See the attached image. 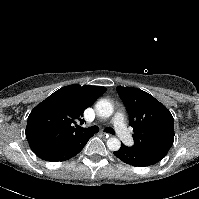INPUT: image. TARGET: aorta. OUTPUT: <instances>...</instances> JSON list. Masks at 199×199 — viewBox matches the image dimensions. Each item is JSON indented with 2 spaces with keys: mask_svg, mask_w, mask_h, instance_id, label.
I'll return each instance as SVG.
<instances>
[{
  "mask_svg": "<svg viewBox=\"0 0 199 199\" xmlns=\"http://www.w3.org/2000/svg\"><path fill=\"white\" fill-rule=\"evenodd\" d=\"M95 109H96L97 114L103 118L110 117L114 111L113 105L108 100H105V99L98 101L95 105ZM120 146H121L120 140L115 137L109 138L107 140V147L111 151L119 150Z\"/></svg>",
  "mask_w": 199,
  "mask_h": 199,
  "instance_id": "obj_1",
  "label": "aorta"
}]
</instances>
